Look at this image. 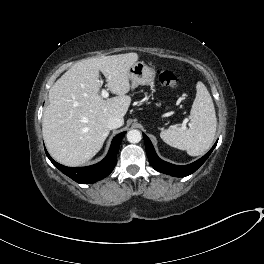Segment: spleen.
Listing matches in <instances>:
<instances>
[{"label": "spleen", "mask_w": 264, "mask_h": 264, "mask_svg": "<svg viewBox=\"0 0 264 264\" xmlns=\"http://www.w3.org/2000/svg\"><path fill=\"white\" fill-rule=\"evenodd\" d=\"M217 118L213 100L202 82L196 85V98L190 111L189 128L170 126L161 131V139L168 145L185 150L190 156H199L213 143Z\"/></svg>", "instance_id": "obj_1"}]
</instances>
